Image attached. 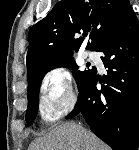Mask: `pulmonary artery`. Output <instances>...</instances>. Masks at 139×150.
<instances>
[{"mask_svg":"<svg viewBox=\"0 0 139 150\" xmlns=\"http://www.w3.org/2000/svg\"><path fill=\"white\" fill-rule=\"evenodd\" d=\"M85 57L94 58V54L91 53V52H86V53H85Z\"/></svg>","mask_w":139,"mask_h":150,"instance_id":"pulmonary-artery-1","label":"pulmonary artery"}]
</instances>
